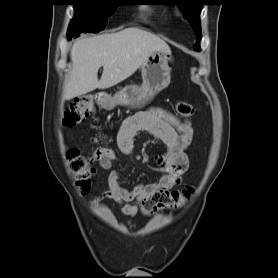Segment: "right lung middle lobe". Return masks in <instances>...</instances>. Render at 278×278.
<instances>
[{
	"mask_svg": "<svg viewBox=\"0 0 278 278\" xmlns=\"http://www.w3.org/2000/svg\"><path fill=\"white\" fill-rule=\"evenodd\" d=\"M75 6V18L71 21L67 38L82 32H99L108 18L120 5V0H71Z\"/></svg>",
	"mask_w": 278,
	"mask_h": 278,
	"instance_id": "dd1d6c3e",
	"label": "right lung middle lobe"
}]
</instances>
